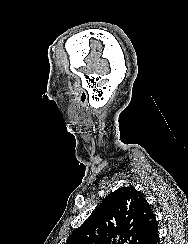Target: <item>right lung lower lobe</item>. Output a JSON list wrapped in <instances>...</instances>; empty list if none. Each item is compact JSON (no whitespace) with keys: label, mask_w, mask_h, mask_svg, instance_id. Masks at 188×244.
Wrapping results in <instances>:
<instances>
[{"label":"right lung lower lobe","mask_w":188,"mask_h":244,"mask_svg":"<svg viewBox=\"0 0 188 244\" xmlns=\"http://www.w3.org/2000/svg\"><path fill=\"white\" fill-rule=\"evenodd\" d=\"M144 244H160V240L158 236V225L152 229Z\"/></svg>","instance_id":"obj_1"}]
</instances>
